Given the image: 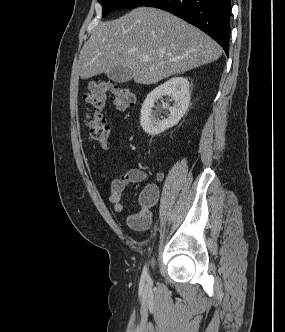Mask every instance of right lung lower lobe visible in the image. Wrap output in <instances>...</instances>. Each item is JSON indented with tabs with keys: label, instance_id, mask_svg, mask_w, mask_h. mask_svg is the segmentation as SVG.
Instances as JSON below:
<instances>
[{
	"label": "right lung lower lobe",
	"instance_id": "obj_1",
	"mask_svg": "<svg viewBox=\"0 0 285 332\" xmlns=\"http://www.w3.org/2000/svg\"><path fill=\"white\" fill-rule=\"evenodd\" d=\"M142 6L168 11L207 33L229 54L231 0H147Z\"/></svg>",
	"mask_w": 285,
	"mask_h": 332
}]
</instances>
